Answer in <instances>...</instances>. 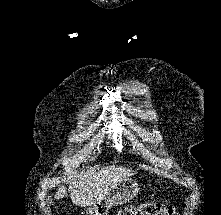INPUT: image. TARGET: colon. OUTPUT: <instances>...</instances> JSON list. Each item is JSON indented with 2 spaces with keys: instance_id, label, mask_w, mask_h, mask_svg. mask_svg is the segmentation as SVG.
Instances as JSON below:
<instances>
[{
  "instance_id": "obj_1",
  "label": "colon",
  "mask_w": 221,
  "mask_h": 215,
  "mask_svg": "<svg viewBox=\"0 0 221 215\" xmlns=\"http://www.w3.org/2000/svg\"><path fill=\"white\" fill-rule=\"evenodd\" d=\"M116 215H176V212L173 206L145 203L122 207Z\"/></svg>"
}]
</instances>
